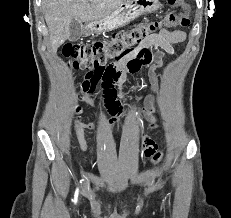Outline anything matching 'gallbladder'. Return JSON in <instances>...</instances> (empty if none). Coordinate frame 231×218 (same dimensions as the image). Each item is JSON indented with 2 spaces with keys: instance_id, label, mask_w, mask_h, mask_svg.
Segmentation results:
<instances>
[{
  "instance_id": "gallbladder-1",
  "label": "gallbladder",
  "mask_w": 231,
  "mask_h": 218,
  "mask_svg": "<svg viewBox=\"0 0 231 218\" xmlns=\"http://www.w3.org/2000/svg\"><path fill=\"white\" fill-rule=\"evenodd\" d=\"M70 36H69V40L70 41H77L83 32V25L82 23L76 21L75 19H73L70 22Z\"/></svg>"
}]
</instances>
